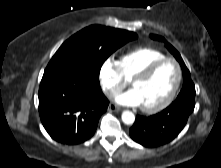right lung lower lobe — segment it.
Instances as JSON below:
<instances>
[{
    "instance_id": "1",
    "label": "right lung lower lobe",
    "mask_w": 221,
    "mask_h": 168,
    "mask_svg": "<svg viewBox=\"0 0 221 168\" xmlns=\"http://www.w3.org/2000/svg\"><path fill=\"white\" fill-rule=\"evenodd\" d=\"M39 114L48 134L63 144L88 140L107 110L99 76L83 67H46L39 87Z\"/></svg>"
}]
</instances>
